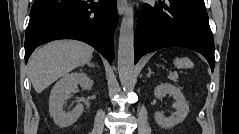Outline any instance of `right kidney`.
I'll list each match as a JSON object with an SVG mask.
<instances>
[{
	"instance_id": "1",
	"label": "right kidney",
	"mask_w": 239,
	"mask_h": 134,
	"mask_svg": "<svg viewBox=\"0 0 239 134\" xmlns=\"http://www.w3.org/2000/svg\"><path fill=\"white\" fill-rule=\"evenodd\" d=\"M78 85H82L86 90H90L93 86V81L85 73L73 72L64 75L51 90L49 113L59 127L72 125L83 112L82 104L77 105L68 113L63 110L64 101L71 92L78 88Z\"/></svg>"
}]
</instances>
